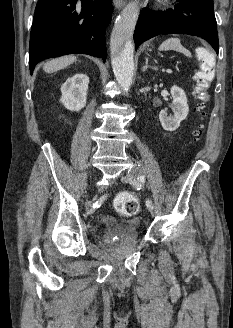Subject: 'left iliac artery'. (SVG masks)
Wrapping results in <instances>:
<instances>
[{"mask_svg":"<svg viewBox=\"0 0 233 328\" xmlns=\"http://www.w3.org/2000/svg\"><path fill=\"white\" fill-rule=\"evenodd\" d=\"M144 176H139L138 177V179H137V181L134 183V186L136 187V188H138V189H141V187H142V184L144 183ZM146 205H147V207H149V208H154V205H153V202H152V200H150V199H147L146 200Z\"/></svg>","mask_w":233,"mask_h":328,"instance_id":"1","label":"left iliac artery"}]
</instances>
